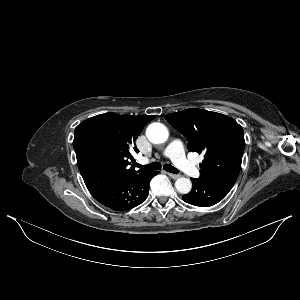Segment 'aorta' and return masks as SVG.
Here are the masks:
<instances>
[{
  "label": "aorta",
  "instance_id": "obj_1",
  "mask_svg": "<svg viewBox=\"0 0 300 300\" xmlns=\"http://www.w3.org/2000/svg\"><path fill=\"white\" fill-rule=\"evenodd\" d=\"M146 136L153 144L164 143L169 136L168 129L162 123H151L146 129ZM175 188L181 194H187L191 191V180L185 177H180L175 181Z\"/></svg>",
  "mask_w": 300,
  "mask_h": 300
}]
</instances>
